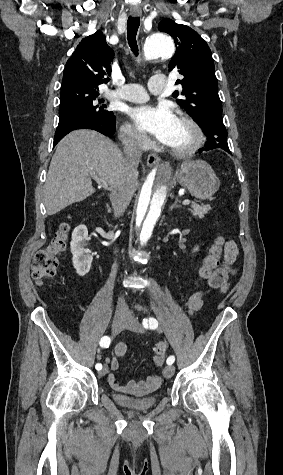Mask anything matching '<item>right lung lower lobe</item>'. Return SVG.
Returning <instances> with one entry per match:
<instances>
[{
  "label": "right lung lower lobe",
  "mask_w": 283,
  "mask_h": 475,
  "mask_svg": "<svg viewBox=\"0 0 283 475\" xmlns=\"http://www.w3.org/2000/svg\"><path fill=\"white\" fill-rule=\"evenodd\" d=\"M76 129H92L110 137L115 132V116L111 120H97L83 112L59 116L53 145L55 146L65 135Z\"/></svg>",
  "instance_id": "right-lung-lower-lobe-1"
}]
</instances>
